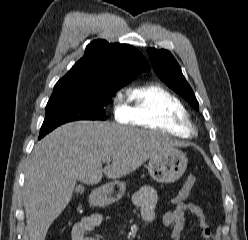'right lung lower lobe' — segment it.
<instances>
[{
    "label": "right lung lower lobe",
    "instance_id": "1",
    "mask_svg": "<svg viewBox=\"0 0 248 240\" xmlns=\"http://www.w3.org/2000/svg\"><path fill=\"white\" fill-rule=\"evenodd\" d=\"M47 133H40L39 139L43 138Z\"/></svg>",
    "mask_w": 248,
    "mask_h": 240
}]
</instances>
